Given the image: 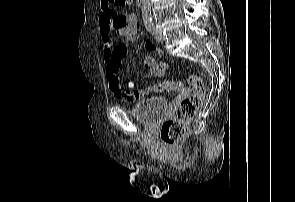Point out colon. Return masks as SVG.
Listing matches in <instances>:
<instances>
[{"label":"colon","mask_w":295,"mask_h":202,"mask_svg":"<svg viewBox=\"0 0 295 202\" xmlns=\"http://www.w3.org/2000/svg\"><path fill=\"white\" fill-rule=\"evenodd\" d=\"M117 6H130L132 0H110ZM156 56H145L143 64L145 68H149L151 74L162 75L166 73L170 66L166 62H156ZM131 84L135 83L134 79L130 80ZM188 84L191 86L193 93L190 98H185L176 109L174 117L166 120L160 130L161 140L168 145L179 143L188 134L189 123L195 113L202 106L206 95V89L201 77L195 74L188 76ZM183 85L177 81H163L156 85H151V90L156 92L164 91H181Z\"/></svg>","instance_id":"1"}]
</instances>
